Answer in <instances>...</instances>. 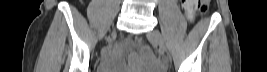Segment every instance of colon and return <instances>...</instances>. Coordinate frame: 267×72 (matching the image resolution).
<instances>
[{
	"label": "colon",
	"instance_id": "colon-1",
	"mask_svg": "<svg viewBox=\"0 0 267 72\" xmlns=\"http://www.w3.org/2000/svg\"><path fill=\"white\" fill-rule=\"evenodd\" d=\"M196 4H197L196 10H198L201 13H205L210 4V0H198L196 1Z\"/></svg>",
	"mask_w": 267,
	"mask_h": 72
}]
</instances>
